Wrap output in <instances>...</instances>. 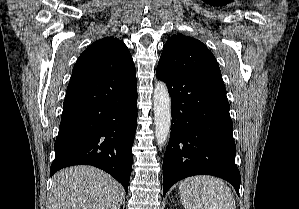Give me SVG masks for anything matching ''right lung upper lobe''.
<instances>
[{"label": "right lung upper lobe", "mask_w": 299, "mask_h": 209, "mask_svg": "<svg viewBox=\"0 0 299 209\" xmlns=\"http://www.w3.org/2000/svg\"><path fill=\"white\" fill-rule=\"evenodd\" d=\"M116 73L125 79L135 77V65L126 45L117 38L95 41L78 58L72 77L96 73Z\"/></svg>", "instance_id": "1"}]
</instances>
